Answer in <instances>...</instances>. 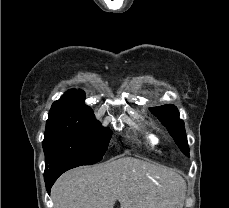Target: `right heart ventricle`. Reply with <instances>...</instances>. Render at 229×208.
<instances>
[{"label":"right heart ventricle","instance_id":"1","mask_svg":"<svg viewBox=\"0 0 229 208\" xmlns=\"http://www.w3.org/2000/svg\"><path fill=\"white\" fill-rule=\"evenodd\" d=\"M144 140L146 145L149 147L150 150L153 152L160 154L162 149H161V139L154 133L152 132H145L144 133Z\"/></svg>","mask_w":229,"mask_h":208}]
</instances>
